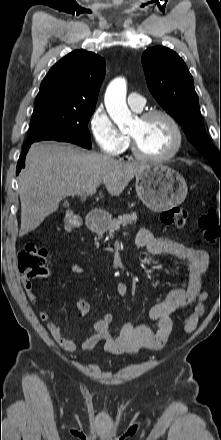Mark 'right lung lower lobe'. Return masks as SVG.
<instances>
[{"mask_svg":"<svg viewBox=\"0 0 221 440\" xmlns=\"http://www.w3.org/2000/svg\"><path fill=\"white\" fill-rule=\"evenodd\" d=\"M32 143H28L23 149V153L21 154V156L18 160V163H17V168H16L17 175L19 174L20 170L25 167V155H26V153Z\"/></svg>","mask_w":221,"mask_h":440,"instance_id":"1","label":"right lung lower lobe"}]
</instances>
